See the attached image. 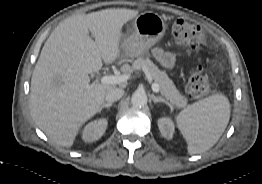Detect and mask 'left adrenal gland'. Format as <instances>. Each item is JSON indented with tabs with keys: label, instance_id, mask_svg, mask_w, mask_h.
<instances>
[{
	"label": "left adrenal gland",
	"instance_id": "a2214340",
	"mask_svg": "<svg viewBox=\"0 0 262 184\" xmlns=\"http://www.w3.org/2000/svg\"><path fill=\"white\" fill-rule=\"evenodd\" d=\"M151 98H152V100H153V102L155 103V104H157V103H160V102H162V103H165L166 105H168V106H172L168 101H166L164 98H162V97H157V96H155L154 94H152L151 95Z\"/></svg>",
	"mask_w": 262,
	"mask_h": 184
}]
</instances>
